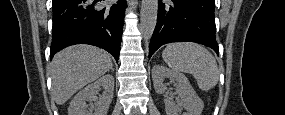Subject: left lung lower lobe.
<instances>
[{"label":"left lung lower lobe","instance_id":"1","mask_svg":"<svg viewBox=\"0 0 285 115\" xmlns=\"http://www.w3.org/2000/svg\"><path fill=\"white\" fill-rule=\"evenodd\" d=\"M214 9L215 0H159L149 58L159 47L170 42H196L218 54Z\"/></svg>","mask_w":285,"mask_h":115}]
</instances>
